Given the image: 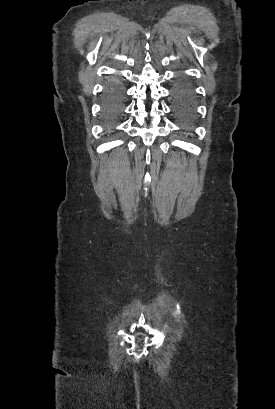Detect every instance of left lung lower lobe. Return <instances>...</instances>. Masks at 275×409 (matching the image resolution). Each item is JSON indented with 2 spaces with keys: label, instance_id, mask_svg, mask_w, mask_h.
Instances as JSON below:
<instances>
[{
  "label": "left lung lower lobe",
  "instance_id": "0a47b994",
  "mask_svg": "<svg viewBox=\"0 0 275 409\" xmlns=\"http://www.w3.org/2000/svg\"><path fill=\"white\" fill-rule=\"evenodd\" d=\"M171 97L173 114L182 124L188 123L192 119V92L187 81L176 80L172 87Z\"/></svg>",
  "mask_w": 275,
  "mask_h": 409
}]
</instances>
